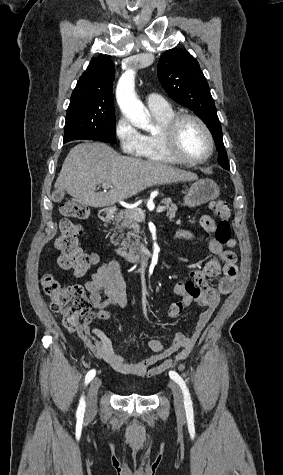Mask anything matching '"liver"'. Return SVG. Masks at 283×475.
<instances>
[{"mask_svg":"<svg viewBox=\"0 0 283 475\" xmlns=\"http://www.w3.org/2000/svg\"><path fill=\"white\" fill-rule=\"evenodd\" d=\"M197 174L178 170L168 164L146 162L141 158L120 156L100 142L78 144L66 156L55 182L58 192L67 190L75 202L92 208L114 206L138 192L173 182H194ZM112 184L109 192H95L98 184Z\"/></svg>","mask_w":283,"mask_h":475,"instance_id":"6515ba94","label":"liver"}]
</instances>
